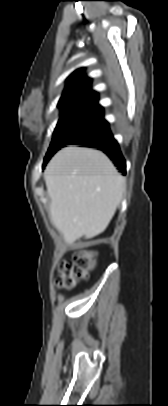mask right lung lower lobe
I'll return each instance as SVG.
<instances>
[{
	"label": "right lung lower lobe",
	"mask_w": 168,
	"mask_h": 406,
	"mask_svg": "<svg viewBox=\"0 0 168 406\" xmlns=\"http://www.w3.org/2000/svg\"><path fill=\"white\" fill-rule=\"evenodd\" d=\"M72 144L97 148L103 151L111 160H113L123 174L126 173L125 160L121 154L117 141L113 138L110 132L109 126Z\"/></svg>",
	"instance_id": "right-lung-lower-lobe-1"
}]
</instances>
